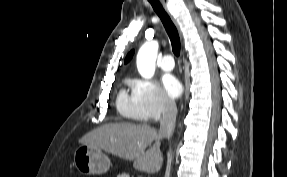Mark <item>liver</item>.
Segmentation results:
<instances>
[{"label": "liver", "mask_w": 287, "mask_h": 177, "mask_svg": "<svg viewBox=\"0 0 287 177\" xmlns=\"http://www.w3.org/2000/svg\"><path fill=\"white\" fill-rule=\"evenodd\" d=\"M161 139L156 129L147 124L120 122L108 123L89 132L79 143L102 149L125 160H133L136 169L155 173L161 169L163 162Z\"/></svg>", "instance_id": "liver-1"}]
</instances>
